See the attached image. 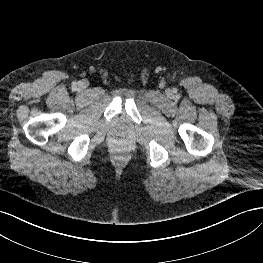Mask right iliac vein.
<instances>
[{
    "label": "right iliac vein",
    "instance_id": "obj_1",
    "mask_svg": "<svg viewBox=\"0 0 263 263\" xmlns=\"http://www.w3.org/2000/svg\"><path fill=\"white\" fill-rule=\"evenodd\" d=\"M87 86H88V82L85 81V80L78 83L79 89H84V88H86Z\"/></svg>",
    "mask_w": 263,
    "mask_h": 263
}]
</instances>
